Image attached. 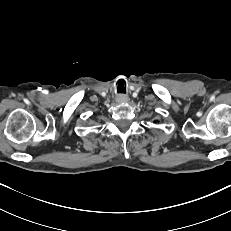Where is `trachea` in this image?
<instances>
[{"label":"trachea","mask_w":231,"mask_h":231,"mask_svg":"<svg viewBox=\"0 0 231 231\" xmlns=\"http://www.w3.org/2000/svg\"><path fill=\"white\" fill-rule=\"evenodd\" d=\"M118 87H119L120 89H122V90L117 89V92H118V93H126V84H125V88H124V84L120 82V83L118 84Z\"/></svg>","instance_id":"1"}]
</instances>
